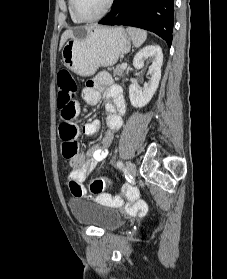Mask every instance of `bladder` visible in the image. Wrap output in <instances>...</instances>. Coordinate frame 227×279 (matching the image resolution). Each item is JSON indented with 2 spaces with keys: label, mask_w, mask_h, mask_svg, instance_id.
<instances>
[{
  "label": "bladder",
  "mask_w": 227,
  "mask_h": 279,
  "mask_svg": "<svg viewBox=\"0 0 227 279\" xmlns=\"http://www.w3.org/2000/svg\"><path fill=\"white\" fill-rule=\"evenodd\" d=\"M69 207L75 220L82 225H89L111 231L122 225V216L117 209L92 200L72 198Z\"/></svg>",
  "instance_id": "obj_1"
}]
</instances>
